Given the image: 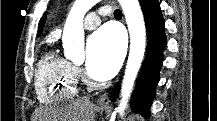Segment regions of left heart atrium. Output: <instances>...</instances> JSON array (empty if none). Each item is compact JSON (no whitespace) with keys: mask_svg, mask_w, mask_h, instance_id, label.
<instances>
[{"mask_svg":"<svg viewBox=\"0 0 217 121\" xmlns=\"http://www.w3.org/2000/svg\"><path fill=\"white\" fill-rule=\"evenodd\" d=\"M125 52L123 33L114 25H106L88 41L86 67L88 74L97 80L111 78L119 69Z\"/></svg>","mask_w":217,"mask_h":121,"instance_id":"1","label":"left heart atrium"}]
</instances>
